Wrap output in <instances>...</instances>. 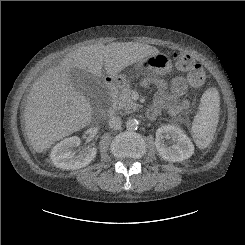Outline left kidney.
Returning a JSON list of instances; mask_svg holds the SVG:
<instances>
[{"mask_svg": "<svg viewBox=\"0 0 245 245\" xmlns=\"http://www.w3.org/2000/svg\"><path fill=\"white\" fill-rule=\"evenodd\" d=\"M165 138L173 141L172 146L165 144ZM155 147L159 156L169 162H181L194 153V145L184 131L173 125H164L157 129Z\"/></svg>", "mask_w": 245, "mask_h": 245, "instance_id": "left-kidney-1", "label": "left kidney"}]
</instances>
